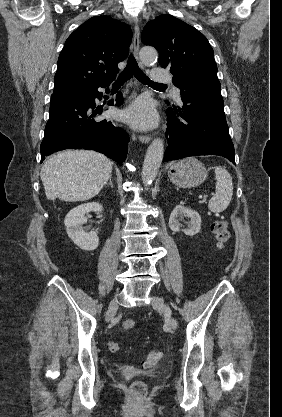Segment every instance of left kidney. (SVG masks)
<instances>
[{
  "label": "left kidney",
  "instance_id": "left-kidney-1",
  "mask_svg": "<svg viewBox=\"0 0 282 417\" xmlns=\"http://www.w3.org/2000/svg\"><path fill=\"white\" fill-rule=\"evenodd\" d=\"M178 217H189L190 219L188 229H182L185 235H190V237H192V235H197V233H199L201 227V217L197 211L188 209V206H183V204H177L169 219V227L171 231H174V233L181 231V223H179Z\"/></svg>",
  "mask_w": 282,
  "mask_h": 417
}]
</instances>
